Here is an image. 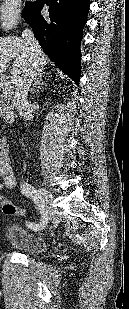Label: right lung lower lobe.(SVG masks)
Returning a JSON list of instances; mask_svg holds the SVG:
<instances>
[{
	"label": "right lung lower lobe",
	"mask_w": 129,
	"mask_h": 309,
	"mask_svg": "<svg viewBox=\"0 0 129 309\" xmlns=\"http://www.w3.org/2000/svg\"><path fill=\"white\" fill-rule=\"evenodd\" d=\"M44 3L49 6V17L45 18L40 14ZM89 5V0H37L26 15L43 51L76 84L80 78V42Z\"/></svg>",
	"instance_id": "obj_1"
}]
</instances>
